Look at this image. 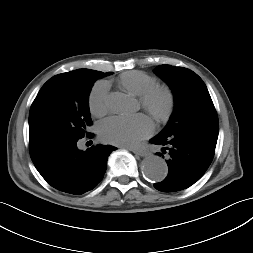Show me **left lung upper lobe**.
I'll return each mask as SVG.
<instances>
[{"mask_svg": "<svg viewBox=\"0 0 253 253\" xmlns=\"http://www.w3.org/2000/svg\"><path fill=\"white\" fill-rule=\"evenodd\" d=\"M155 73L171 87L175 99L174 112L159 136H169L203 125L219 131L215 107L206 85L196 73L170 65L158 66Z\"/></svg>", "mask_w": 253, "mask_h": 253, "instance_id": "obj_1", "label": "left lung upper lobe"}]
</instances>
